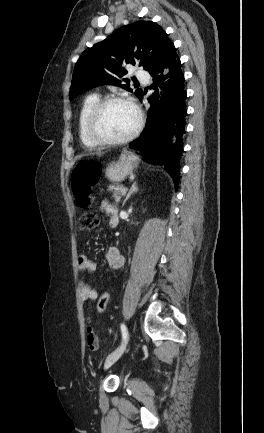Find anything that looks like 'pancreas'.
<instances>
[{
    "label": "pancreas",
    "instance_id": "1",
    "mask_svg": "<svg viewBox=\"0 0 264 433\" xmlns=\"http://www.w3.org/2000/svg\"><path fill=\"white\" fill-rule=\"evenodd\" d=\"M123 186L120 185L118 188L113 192V197L116 202H119L121 197L124 196L125 193L122 192Z\"/></svg>",
    "mask_w": 264,
    "mask_h": 433
}]
</instances>
